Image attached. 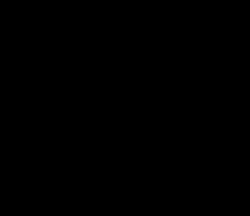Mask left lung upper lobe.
Instances as JSON below:
<instances>
[{
	"instance_id": "5c2ea615",
	"label": "left lung upper lobe",
	"mask_w": 250,
	"mask_h": 216,
	"mask_svg": "<svg viewBox=\"0 0 250 216\" xmlns=\"http://www.w3.org/2000/svg\"><path fill=\"white\" fill-rule=\"evenodd\" d=\"M155 42L164 49L175 72L172 89L155 104V108L166 114L196 112L213 118L210 107L212 94L194 60L182 48L165 38H158Z\"/></svg>"
}]
</instances>
